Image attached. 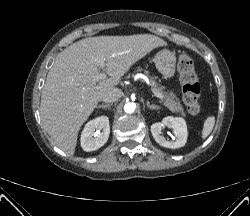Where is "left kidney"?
I'll use <instances>...</instances> for the list:
<instances>
[{
	"instance_id": "1",
	"label": "left kidney",
	"mask_w": 250,
	"mask_h": 216,
	"mask_svg": "<svg viewBox=\"0 0 250 216\" xmlns=\"http://www.w3.org/2000/svg\"><path fill=\"white\" fill-rule=\"evenodd\" d=\"M169 127L173 130L176 138L167 140L161 135L163 127ZM151 133L155 141L166 148L176 149L185 146L187 142V125L183 118L168 116L163 118L162 122H157L151 125Z\"/></svg>"
}]
</instances>
